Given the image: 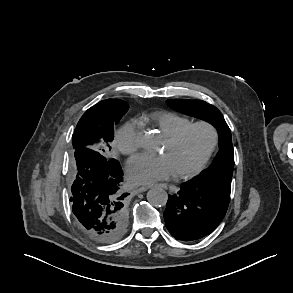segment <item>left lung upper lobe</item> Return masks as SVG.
<instances>
[{
    "label": "left lung upper lobe",
    "instance_id": "left-lung-upper-lobe-1",
    "mask_svg": "<svg viewBox=\"0 0 293 293\" xmlns=\"http://www.w3.org/2000/svg\"><path fill=\"white\" fill-rule=\"evenodd\" d=\"M168 105L181 113L205 120L214 125L218 131L220 150L211 166L198 177L204 180L215 178L232 179L234 152L231 131L221 112L211 104L200 100L170 99Z\"/></svg>",
    "mask_w": 293,
    "mask_h": 293
}]
</instances>
